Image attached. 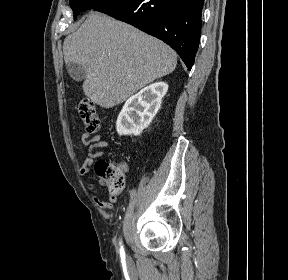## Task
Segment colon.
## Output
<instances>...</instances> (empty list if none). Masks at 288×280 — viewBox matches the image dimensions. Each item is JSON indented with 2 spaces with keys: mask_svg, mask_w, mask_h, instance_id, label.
<instances>
[{
  "mask_svg": "<svg viewBox=\"0 0 288 280\" xmlns=\"http://www.w3.org/2000/svg\"><path fill=\"white\" fill-rule=\"evenodd\" d=\"M78 111L87 132H96L99 129L100 122L94 102L89 98L81 100ZM95 172L100 181L108 187L110 195L117 196L122 192L125 172L121 164L100 160L95 164Z\"/></svg>",
  "mask_w": 288,
  "mask_h": 280,
  "instance_id": "colon-1",
  "label": "colon"
}]
</instances>
